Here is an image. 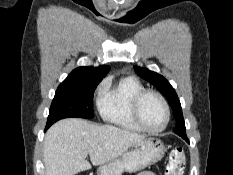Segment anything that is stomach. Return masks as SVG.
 I'll return each mask as SVG.
<instances>
[{
  "label": "stomach",
  "mask_w": 233,
  "mask_h": 175,
  "mask_svg": "<svg viewBox=\"0 0 233 175\" xmlns=\"http://www.w3.org/2000/svg\"><path fill=\"white\" fill-rule=\"evenodd\" d=\"M166 152L163 142L155 137H148L135 144L120 158L101 165L97 175H122L123 172L135 173L160 161Z\"/></svg>",
  "instance_id": "0dacf381"
}]
</instances>
